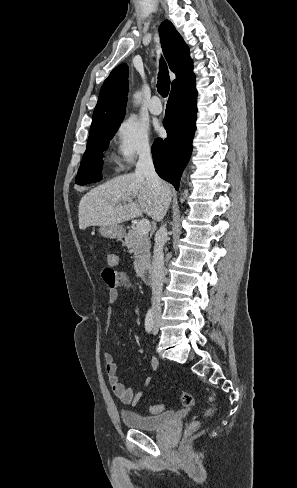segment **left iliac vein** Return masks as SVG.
Segmentation results:
<instances>
[{"mask_svg": "<svg viewBox=\"0 0 297 488\" xmlns=\"http://www.w3.org/2000/svg\"><path fill=\"white\" fill-rule=\"evenodd\" d=\"M158 328H159V323L158 321L156 320L155 323H154V326H153V334L156 335L157 332H158Z\"/></svg>", "mask_w": 297, "mask_h": 488, "instance_id": "left-iliac-vein-1", "label": "left iliac vein"}]
</instances>
